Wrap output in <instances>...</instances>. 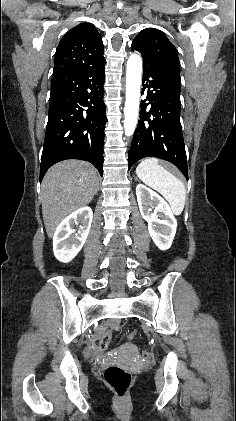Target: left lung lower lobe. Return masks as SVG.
Returning <instances> with one entry per match:
<instances>
[{
    "mask_svg": "<svg viewBox=\"0 0 236 421\" xmlns=\"http://www.w3.org/2000/svg\"><path fill=\"white\" fill-rule=\"evenodd\" d=\"M143 92L140 120L128 156V166L144 157H157L173 163L188 180L185 145L180 123V76L143 62ZM143 94V93H142ZM151 104L150 111L146 107Z\"/></svg>",
    "mask_w": 236,
    "mask_h": 421,
    "instance_id": "obj_1",
    "label": "left lung lower lobe"
}]
</instances>
